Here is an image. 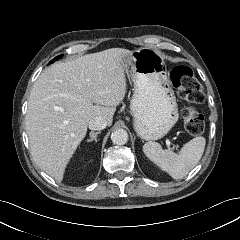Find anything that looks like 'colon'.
Instances as JSON below:
<instances>
[{
    "mask_svg": "<svg viewBox=\"0 0 240 240\" xmlns=\"http://www.w3.org/2000/svg\"><path fill=\"white\" fill-rule=\"evenodd\" d=\"M170 80L177 89L178 96L190 105L183 110V122L186 131L199 135L204 130V117L194 105L202 103L205 95L202 85L193 71L187 66H177L170 73Z\"/></svg>",
    "mask_w": 240,
    "mask_h": 240,
    "instance_id": "obj_1",
    "label": "colon"
}]
</instances>
